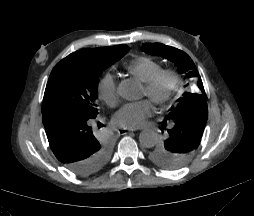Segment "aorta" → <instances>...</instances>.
Masks as SVG:
<instances>
[{
  "instance_id": "1",
  "label": "aorta",
  "mask_w": 254,
  "mask_h": 216,
  "mask_svg": "<svg viewBox=\"0 0 254 216\" xmlns=\"http://www.w3.org/2000/svg\"><path fill=\"white\" fill-rule=\"evenodd\" d=\"M158 140V134L153 130H143L139 135V141L143 147H153Z\"/></svg>"
}]
</instances>
